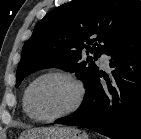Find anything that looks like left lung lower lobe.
<instances>
[{
    "instance_id": "obj_1",
    "label": "left lung lower lobe",
    "mask_w": 141,
    "mask_h": 139,
    "mask_svg": "<svg viewBox=\"0 0 141 139\" xmlns=\"http://www.w3.org/2000/svg\"><path fill=\"white\" fill-rule=\"evenodd\" d=\"M111 57L112 78L99 71L86 88L82 105L58 124L86 127L113 139H141V25L114 42L105 52Z\"/></svg>"
}]
</instances>
